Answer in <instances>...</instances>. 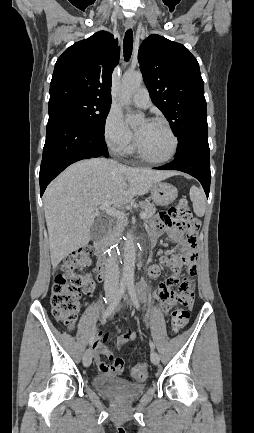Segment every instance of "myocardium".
<instances>
[{"label":"myocardium","instance_id":"obj_1","mask_svg":"<svg viewBox=\"0 0 254 433\" xmlns=\"http://www.w3.org/2000/svg\"><path fill=\"white\" fill-rule=\"evenodd\" d=\"M148 121L163 125L172 138L173 146H172L170 153L166 157L161 158V159H154V158L149 157L143 151V149L141 148V146L137 140V137H136L135 138V147H136V151H137L139 157L141 159H143L144 161L149 162V163H153V164H163V163H167V162L171 161L175 157V155L178 151V147H179V141H178V138H177L174 130L172 129L170 124L163 118L154 117V118H150Z\"/></svg>","mask_w":254,"mask_h":433}]
</instances>
